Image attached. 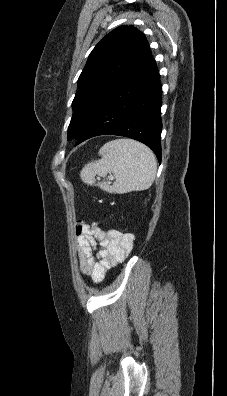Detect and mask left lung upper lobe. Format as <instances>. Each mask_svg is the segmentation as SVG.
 <instances>
[{"instance_id": "left-lung-upper-lobe-1", "label": "left lung upper lobe", "mask_w": 227, "mask_h": 396, "mask_svg": "<svg viewBox=\"0 0 227 396\" xmlns=\"http://www.w3.org/2000/svg\"><path fill=\"white\" fill-rule=\"evenodd\" d=\"M149 44L133 26H120L92 50L78 79L68 140L78 139L101 101L149 55Z\"/></svg>"}]
</instances>
